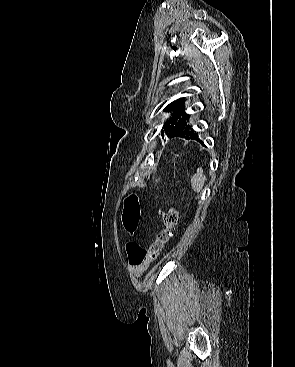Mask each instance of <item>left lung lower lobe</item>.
Masks as SVG:
<instances>
[{
    "label": "left lung lower lobe",
    "mask_w": 295,
    "mask_h": 367,
    "mask_svg": "<svg viewBox=\"0 0 295 367\" xmlns=\"http://www.w3.org/2000/svg\"><path fill=\"white\" fill-rule=\"evenodd\" d=\"M187 119H188V115L184 119V121L176 128V130L173 132L170 138L181 137L187 140L195 139L201 142V140L198 139V133L192 128V126L186 123Z\"/></svg>",
    "instance_id": "1"
}]
</instances>
